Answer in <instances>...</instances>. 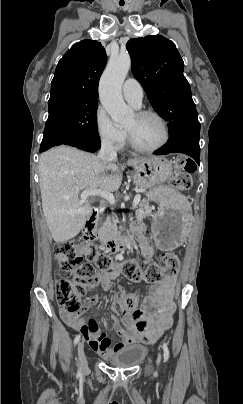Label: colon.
<instances>
[{"label":"colon","mask_w":243,"mask_h":404,"mask_svg":"<svg viewBox=\"0 0 243 404\" xmlns=\"http://www.w3.org/2000/svg\"><path fill=\"white\" fill-rule=\"evenodd\" d=\"M195 170L196 166L191 159L179 157L172 176L173 186L182 191L188 190L192 186V174ZM54 252L59 269L72 274L57 279L56 299L60 307L74 317H78L80 301L100 272L120 270L129 281L159 283L175 277L179 271V259L172 253L163 255L164 264L161 266L155 262L142 264L134 258L119 264L91 243L62 241L54 245ZM138 301V296L134 293L123 294L121 308L125 313L135 312Z\"/></svg>","instance_id":"colon-1"}]
</instances>
